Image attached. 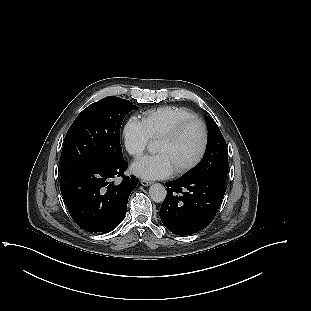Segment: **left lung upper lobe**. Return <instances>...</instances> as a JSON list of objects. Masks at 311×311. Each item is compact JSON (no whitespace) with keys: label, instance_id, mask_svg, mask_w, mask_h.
Segmentation results:
<instances>
[{"label":"left lung upper lobe","instance_id":"left-lung-upper-lobe-1","mask_svg":"<svg viewBox=\"0 0 311 311\" xmlns=\"http://www.w3.org/2000/svg\"><path fill=\"white\" fill-rule=\"evenodd\" d=\"M208 128V143L204 158L199 165L183 178H212L225 185L228 171L226 142L215 121L205 117Z\"/></svg>","mask_w":311,"mask_h":311}]
</instances>
